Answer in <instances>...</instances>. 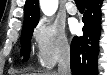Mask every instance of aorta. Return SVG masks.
Returning <instances> with one entry per match:
<instances>
[{
  "label": "aorta",
  "mask_w": 107,
  "mask_h": 75,
  "mask_svg": "<svg viewBox=\"0 0 107 75\" xmlns=\"http://www.w3.org/2000/svg\"><path fill=\"white\" fill-rule=\"evenodd\" d=\"M40 7L45 15L51 16L58 8V0H41Z\"/></svg>",
  "instance_id": "1"
}]
</instances>
